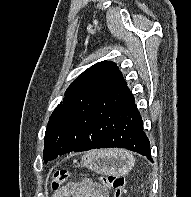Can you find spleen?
<instances>
[{"label": "spleen", "instance_id": "3e777b00", "mask_svg": "<svg viewBox=\"0 0 191 197\" xmlns=\"http://www.w3.org/2000/svg\"><path fill=\"white\" fill-rule=\"evenodd\" d=\"M120 151H122V153H123L125 156H127L128 158H130V159H132V160L134 161V157H133V155H132L131 153H129V152H127V151H123V150H120Z\"/></svg>", "mask_w": 191, "mask_h": 197}]
</instances>
